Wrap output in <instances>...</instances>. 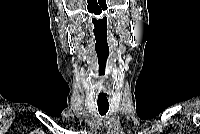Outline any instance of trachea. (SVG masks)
Wrapping results in <instances>:
<instances>
[{
	"instance_id": "1",
	"label": "trachea",
	"mask_w": 200,
	"mask_h": 134,
	"mask_svg": "<svg viewBox=\"0 0 200 134\" xmlns=\"http://www.w3.org/2000/svg\"><path fill=\"white\" fill-rule=\"evenodd\" d=\"M97 105L100 115H105L109 109V103L107 101H98Z\"/></svg>"
}]
</instances>
